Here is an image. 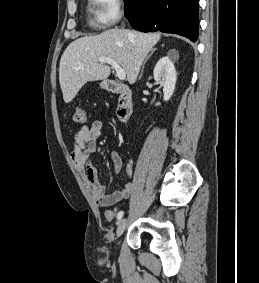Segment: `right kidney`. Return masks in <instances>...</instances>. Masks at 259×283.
Returning a JSON list of instances; mask_svg holds the SVG:
<instances>
[{"label":"right kidney","mask_w":259,"mask_h":283,"mask_svg":"<svg viewBox=\"0 0 259 283\" xmlns=\"http://www.w3.org/2000/svg\"><path fill=\"white\" fill-rule=\"evenodd\" d=\"M153 76L154 80L163 87L164 101H168L173 95L176 84V70L173 61L168 56L162 57L154 68Z\"/></svg>","instance_id":"obj_1"}]
</instances>
